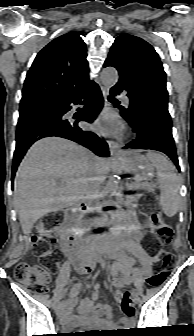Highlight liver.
Segmentation results:
<instances>
[{
    "instance_id": "1",
    "label": "liver",
    "mask_w": 194,
    "mask_h": 336,
    "mask_svg": "<svg viewBox=\"0 0 194 336\" xmlns=\"http://www.w3.org/2000/svg\"><path fill=\"white\" fill-rule=\"evenodd\" d=\"M111 160L95 157L66 139L48 137L35 142L15 178V206L22 231L28 235L38 219L84 198L90 180L111 170Z\"/></svg>"
}]
</instances>
